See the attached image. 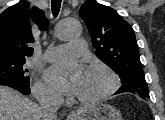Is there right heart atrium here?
Returning <instances> with one entry per match:
<instances>
[{
	"label": "right heart atrium",
	"mask_w": 165,
	"mask_h": 120,
	"mask_svg": "<svg viewBox=\"0 0 165 120\" xmlns=\"http://www.w3.org/2000/svg\"><path fill=\"white\" fill-rule=\"evenodd\" d=\"M34 94L42 100L58 101L60 99L59 94L42 81H37L33 88Z\"/></svg>",
	"instance_id": "d8ad5b80"
}]
</instances>
